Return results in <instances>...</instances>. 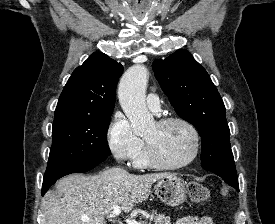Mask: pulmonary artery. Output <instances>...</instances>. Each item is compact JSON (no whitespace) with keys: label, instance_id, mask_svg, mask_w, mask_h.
<instances>
[{"label":"pulmonary artery","instance_id":"1","mask_svg":"<svg viewBox=\"0 0 275 224\" xmlns=\"http://www.w3.org/2000/svg\"><path fill=\"white\" fill-rule=\"evenodd\" d=\"M147 106L148 108L155 112V113H158L160 111V107H161V99H160V96L156 93H150L148 96H147Z\"/></svg>","mask_w":275,"mask_h":224}]
</instances>
